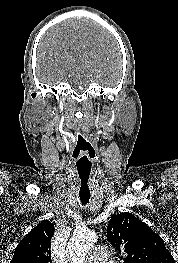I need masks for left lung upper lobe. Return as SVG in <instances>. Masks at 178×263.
I'll return each instance as SVG.
<instances>
[{"mask_svg": "<svg viewBox=\"0 0 178 263\" xmlns=\"http://www.w3.org/2000/svg\"><path fill=\"white\" fill-rule=\"evenodd\" d=\"M107 240L124 255V263H175L163 239L131 213L111 217Z\"/></svg>", "mask_w": 178, "mask_h": 263, "instance_id": "1", "label": "left lung upper lobe"}]
</instances>
